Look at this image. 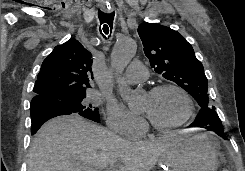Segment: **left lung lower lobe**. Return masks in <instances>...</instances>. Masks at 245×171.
<instances>
[{
	"label": "left lung lower lobe",
	"instance_id": "obj_1",
	"mask_svg": "<svg viewBox=\"0 0 245 171\" xmlns=\"http://www.w3.org/2000/svg\"><path fill=\"white\" fill-rule=\"evenodd\" d=\"M193 126L194 127H205L208 130H213L223 139L227 140V137L223 131L222 122L218 114L215 112V109L208 108V109L200 110L194 122L190 124V127H193Z\"/></svg>",
	"mask_w": 245,
	"mask_h": 171
}]
</instances>
